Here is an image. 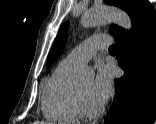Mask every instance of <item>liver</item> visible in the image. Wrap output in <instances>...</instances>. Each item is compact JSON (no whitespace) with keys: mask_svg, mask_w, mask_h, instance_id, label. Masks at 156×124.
Returning <instances> with one entry per match:
<instances>
[{"mask_svg":"<svg viewBox=\"0 0 156 124\" xmlns=\"http://www.w3.org/2000/svg\"><path fill=\"white\" fill-rule=\"evenodd\" d=\"M32 124H47V123L36 121V122H33Z\"/></svg>","mask_w":156,"mask_h":124,"instance_id":"1","label":"liver"}]
</instances>
